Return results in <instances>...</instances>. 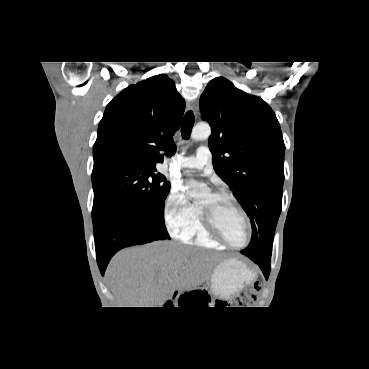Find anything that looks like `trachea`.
<instances>
[{
	"mask_svg": "<svg viewBox=\"0 0 369 369\" xmlns=\"http://www.w3.org/2000/svg\"><path fill=\"white\" fill-rule=\"evenodd\" d=\"M193 125H194V114L192 111H188L183 118L181 126V134L184 139H188L190 137Z\"/></svg>",
	"mask_w": 369,
	"mask_h": 369,
	"instance_id": "obj_1",
	"label": "trachea"
}]
</instances>
